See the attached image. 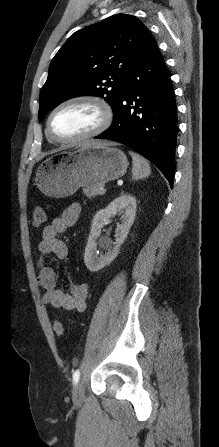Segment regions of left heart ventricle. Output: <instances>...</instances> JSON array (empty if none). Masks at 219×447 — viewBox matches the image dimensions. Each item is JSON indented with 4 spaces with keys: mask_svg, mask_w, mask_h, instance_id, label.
Returning a JSON list of instances; mask_svg holds the SVG:
<instances>
[{
    "mask_svg": "<svg viewBox=\"0 0 219 447\" xmlns=\"http://www.w3.org/2000/svg\"><path fill=\"white\" fill-rule=\"evenodd\" d=\"M99 121L97 111L88 105L67 106L58 111L52 119V129L63 138H73L92 130Z\"/></svg>",
    "mask_w": 219,
    "mask_h": 447,
    "instance_id": "b2bd125f",
    "label": "left heart ventricle"
}]
</instances>
